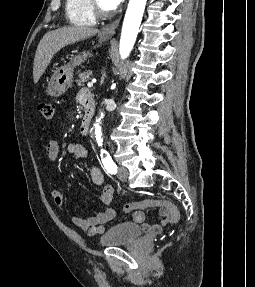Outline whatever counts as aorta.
I'll return each mask as SVG.
<instances>
[{
  "mask_svg": "<svg viewBox=\"0 0 255 287\" xmlns=\"http://www.w3.org/2000/svg\"><path fill=\"white\" fill-rule=\"evenodd\" d=\"M147 0H130L128 8L125 14L122 33L120 38L119 53L122 59H125L129 56L134 43L136 41L139 27L141 24L142 16L144 13L145 5ZM103 114L99 116L96 120V123L93 125L94 134L98 145H102L103 142V132L101 119Z\"/></svg>",
  "mask_w": 255,
  "mask_h": 287,
  "instance_id": "aorta-1",
  "label": "aorta"
}]
</instances>
